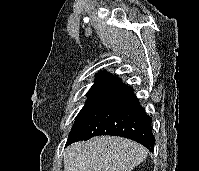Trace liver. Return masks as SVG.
I'll return each instance as SVG.
<instances>
[{"label": "liver", "mask_w": 199, "mask_h": 171, "mask_svg": "<svg viewBox=\"0 0 199 171\" xmlns=\"http://www.w3.org/2000/svg\"><path fill=\"white\" fill-rule=\"evenodd\" d=\"M141 144L116 136H97L70 145L64 171H131L147 157Z\"/></svg>", "instance_id": "6515ba94"}]
</instances>
